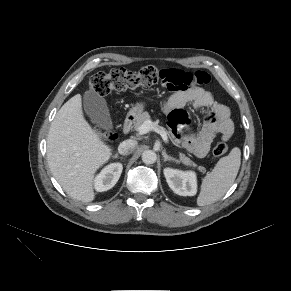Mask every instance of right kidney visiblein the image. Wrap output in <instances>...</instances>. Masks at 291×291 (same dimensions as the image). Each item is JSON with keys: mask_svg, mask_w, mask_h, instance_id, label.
<instances>
[{"mask_svg": "<svg viewBox=\"0 0 291 291\" xmlns=\"http://www.w3.org/2000/svg\"><path fill=\"white\" fill-rule=\"evenodd\" d=\"M122 170L121 163H112L106 166L95 178V189L99 192L111 189L119 180Z\"/></svg>", "mask_w": 291, "mask_h": 291, "instance_id": "right-kidney-1", "label": "right kidney"}]
</instances>
